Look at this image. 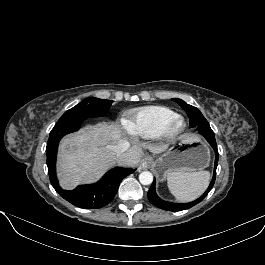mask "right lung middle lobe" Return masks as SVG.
I'll return each instance as SVG.
<instances>
[{
	"label": "right lung middle lobe",
	"mask_w": 265,
	"mask_h": 265,
	"mask_svg": "<svg viewBox=\"0 0 265 265\" xmlns=\"http://www.w3.org/2000/svg\"><path fill=\"white\" fill-rule=\"evenodd\" d=\"M112 102V100L98 99L95 97L86 98L73 108L67 110L58 122L76 117L87 119L88 117L105 116Z\"/></svg>",
	"instance_id": "right-lung-middle-lobe-1"
}]
</instances>
